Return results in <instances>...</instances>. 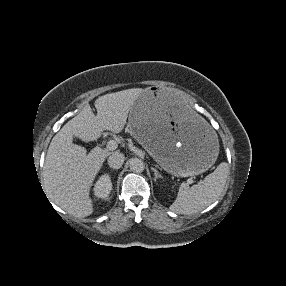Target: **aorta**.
<instances>
[{
  "mask_svg": "<svg viewBox=\"0 0 286 286\" xmlns=\"http://www.w3.org/2000/svg\"><path fill=\"white\" fill-rule=\"evenodd\" d=\"M130 170L136 173H141L145 169L144 162L139 158H131L129 160Z\"/></svg>",
  "mask_w": 286,
  "mask_h": 286,
  "instance_id": "1",
  "label": "aorta"
}]
</instances>
